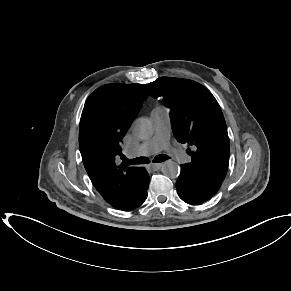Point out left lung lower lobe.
Returning a JSON list of instances; mask_svg holds the SVG:
<instances>
[{"label":"left lung lower lobe","instance_id":"1","mask_svg":"<svg viewBox=\"0 0 291 291\" xmlns=\"http://www.w3.org/2000/svg\"><path fill=\"white\" fill-rule=\"evenodd\" d=\"M222 182L202 174L200 171L181 165V172L176 181L179 197L191 205H199L212 198Z\"/></svg>","mask_w":291,"mask_h":291}]
</instances>
